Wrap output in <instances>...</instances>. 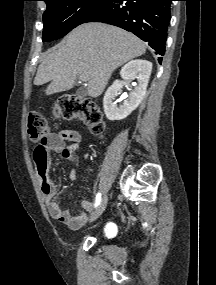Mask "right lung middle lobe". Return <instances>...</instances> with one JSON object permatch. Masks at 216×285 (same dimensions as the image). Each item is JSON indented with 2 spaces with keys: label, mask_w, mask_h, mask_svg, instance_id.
<instances>
[{
  "label": "right lung middle lobe",
  "mask_w": 216,
  "mask_h": 285,
  "mask_svg": "<svg viewBox=\"0 0 216 285\" xmlns=\"http://www.w3.org/2000/svg\"><path fill=\"white\" fill-rule=\"evenodd\" d=\"M108 0H50L43 14V42L65 36Z\"/></svg>",
  "instance_id": "obj_1"
}]
</instances>
